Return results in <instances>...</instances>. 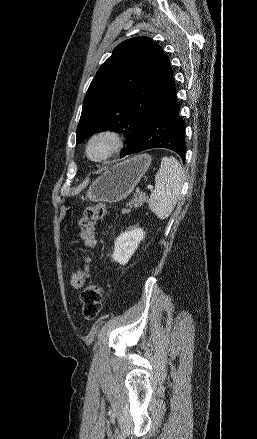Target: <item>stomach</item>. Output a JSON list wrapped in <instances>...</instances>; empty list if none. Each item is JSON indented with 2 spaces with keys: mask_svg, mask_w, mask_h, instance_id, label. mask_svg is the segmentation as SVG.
<instances>
[{
  "mask_svg": "<svg viewBox=\"0 0 257 439\" xmlns=\"http://www.w3.org/2000/svg\"><path fill=\"white\" fill-rule=\"evenodd\" d=\"M151 160L150 155L141 154L110 167L89 187L88 199L107 203L125 199L146 173Z\"/></svg>",
  "mask_w": 257,
  "mask_h": 439,
  "instance_id": "stomach-1",
  "label": "stomach"
}]
</instances>
